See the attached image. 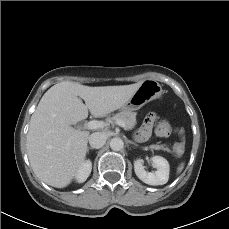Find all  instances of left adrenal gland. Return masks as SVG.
Returning a JSON list of instances; mask_svg holds the SVG:
<instances>
[{"mask_svg": "<svg viewBox=\"0 0 229 229\" xmlns=\"http://www.w3.org/2000/svg\"><path fill=\"white\" fill-rule=\"evenodd\" d=\"M127 143H129V144H133V145H135V146H138L135 142L130 141V140H127Z\"/></svg>", "mask_w": 229, "mask_h": 229, "instance_id": "1", "label": "left adrenal gland"}]
</instances>
